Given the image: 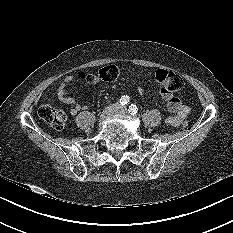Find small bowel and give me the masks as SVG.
Returning <instances> with one entry per match:
<instances>
[{"label": "small bowel", "mask_w": 233, "mask_h": 233, "mask_svg": "<svg viewBox=\"0 0 233 233\" xmlns=\"http://www.w3.org/2000/svg\"><path fill=\"white\" fill-rule=\"evenodd\" d=\"M72 81L73 76H67L59 85L57 96L62 103L69 106L70 114L76 115L79 111L86 110L88 106L80 104L76 102L74 98L67 96V85ZM161 96L166 102L168 111L172 113V115L166 119V123L174 127L183 124L190 114V108L171 93L161 90Z\"/></svg>", "instance_id": "obj_1"}]
</instances>
